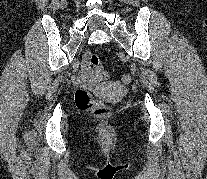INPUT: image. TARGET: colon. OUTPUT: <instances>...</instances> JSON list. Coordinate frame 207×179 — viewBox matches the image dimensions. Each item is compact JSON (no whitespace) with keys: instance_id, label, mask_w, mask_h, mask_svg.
I'll use <instances>...</instances> for the list:
<instances>
[{"instance_id":"colon-1","label":"colon","mask_w":207,"mask_h":179,"mask_svg":"<svg viewBox=\"0 0 207 179\" xmlns=\"http://www.w3.org/2000/svg\"><path fill=\"white\" fill-rule=\"evenodd\" d=\"M88 62L95 68V71L101 81L108 79V73L102 66L98 56L96 54H90ZM132 80L130 74H123L121 82L123 84H129ZM76 106L82 111H92L95 116L105 117L110 114V110L102 102L94 99L92 93L84 88H80L75 92Z\"/></svg>"}]
</instances>
